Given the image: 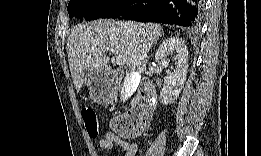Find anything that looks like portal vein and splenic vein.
<instances>
[{
  "label": "portal vein and splenic vein",
  "instance_id": "obj_1",
  "mask_svg": "<svg viewBox=\"0 0 261 156\" xmlns=\"http://www.w3.org/2000/svg\"><path fill=\"white\" fill-rule=\"evenodd\" d=\"M114 61H115L116 64L119 65V66L125 64V60H124L123 58H120V57H116V58L114 59Z\"/></svg>",
  "mask_w": 261,
  "mask_h": 156
}]
</instances>
